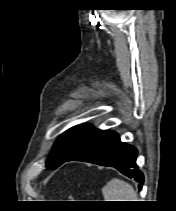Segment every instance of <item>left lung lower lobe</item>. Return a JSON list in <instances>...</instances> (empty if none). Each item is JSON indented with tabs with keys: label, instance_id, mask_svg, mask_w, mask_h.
Returning <instances> with one entry per match:
<instances>
[{
	"label": "left lung lower lobe",
	"instance_id": "obj_1",
	"mask_svg": "<svg viewBox=\"0 0 176 211\" xmlns=\"http://www.w3.org/2000/svg\"><path fill=\"white\" fill-rule=\"evenodd\" d=\"M135 147L120 141L114 131L100 130L72 157L66 161L91 162L101 166H111L124 175L143 184V174L136 165Z\"/></svg>",
	"mask_w": 176,
	"mask_h": 211
}]
</instances>
